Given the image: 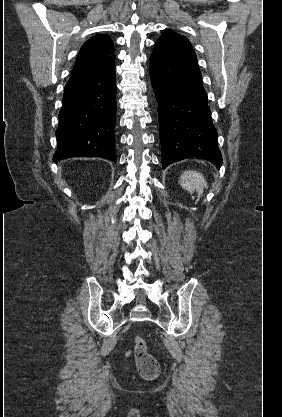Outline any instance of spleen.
Masks as SVG:
<instances>
[{
    "label": "spleen",
    "instance_id": "spleen-1",
    "mask_svg": "<svg viewBox=\"0 0 282 417\" xmlns=\"http://www.w3.org/2000/svg\"><path fill=\"white\" fill-rule=\"evenodd\" d=\"M180 184L185 190H189V192L196 190L198 194H202L203 188L207 186L203 174L197 170H185L180 176Z\"/></svg>",
    "mask_w": 282,
    "mask_h": 417
}]
</instances>
